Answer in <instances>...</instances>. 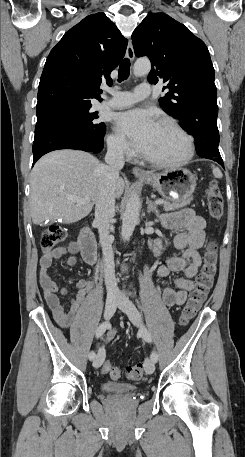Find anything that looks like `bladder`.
I'll return each mask as SVG.
<instances>
[{"label":"bladder","instance_id":"1","mask_svg":"<svg viewBox=\"0 0 245 457\" xmlns=\"http://www.w3.org/2000/svg\"><path fill=\"white\" fill-rule=\"evenodd\" d=\"M133 389L134 387L126 383L106 382L101 384V390L107 395H125Z\"/></svg>","mask_w":245,"mask_h":457}]
</instances>
